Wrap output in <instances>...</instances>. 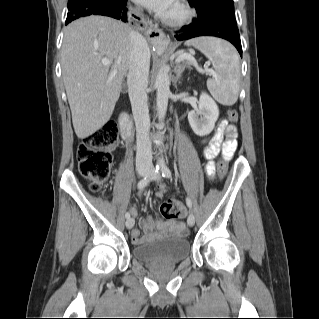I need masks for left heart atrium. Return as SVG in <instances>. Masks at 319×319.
Wrapping results in <instances>:
<instances>
[{"label":"left heart atrium","mask_w":319,"mask_h":319,"mask_svg":"<svg viewBox=\"0 0 319 319\" xmlns=\"http://www.w3.org/2000/svg\"><path fill=\"white\" fill-rule=\"evenodd\" d=\"M134 1L145 6L148 9L153 10L159 16H165L175 0H134Z\"/></svg>","instance_id":"39dd6f15"}]
</instances>
